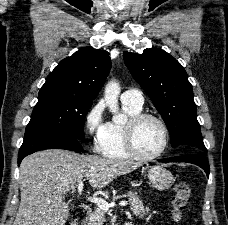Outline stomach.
Wrapping results in <instances>:
<instances>
[{
  "instance_id": "0dacf381",
  "label": "stomach",
  "mask_w": 228,
  "mask_h": 225,
  "mask_svg": "<svg viewBox=\"0 0 228 225\" xmlns=\"http://www.w3.org/2000/svg\"><path fill=\"white\" fill-rule=\"evenodd\" d=\"M147 177L151 187L158 189V191H166L174 183V177H172L170 171H167L164 167H160V165L149 167Z\"/></svg>"
}]
</instances>
